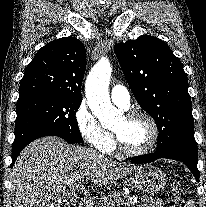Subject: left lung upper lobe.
Segmentation results:
<instances>
[{"mask_svg":"<svg viewBox=\"0 0 206 207\" xmlns=\"http://www.w3.org/2000/svg\"><path fill=\"white\" fill-rule=\"evenodd\" d=\"M114 50L135 98L157 124L156 152L197 151L188 80L179 58L150 35L119 43Z\"/></svg>","mask_w":206,"mask_h":207,"instance_id":"5c2ea615","label":"left lung upper lobe"}]
</instances>
